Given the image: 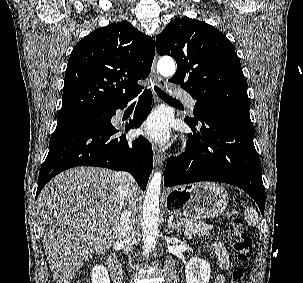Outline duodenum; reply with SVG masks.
I'll list each match as a JSON object with an SVG mask.
<instances>
[{"label":"duodenum","mask_w":303,"mask_h":283,"mask_svg":"<svg viewBox=\"0 0 303 283\" xmlns=\"http://www.w3.org/2000/svg\"><path fill=\"white\" fill-rule=\"evenodd\" d=\"M107 266L115 283H121L122 266L119 259L114 255L109 256L107 259Z\"/></svg>","instance_id":"obj_1"}]
</instances>
